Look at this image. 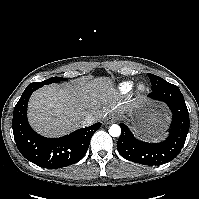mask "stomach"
Wrapping results in <instances>:
<instances>
[{
  "instance_id": "obj_1",
  "label": "stomach",
  "mask_w": 199,
  "mask_h": 199,
  "mask_svg": "<svg viewBox=\"0 0 199 199\" xmlns=\"http://www.w3.org/2000/svg\"><path fill=\"white\" fill-rule=\"evenodd\" d=\"M164 109L144 101L127 113L132 129L143 138H152L163 132L166 125Z\"/></svg>"
}]
</instances>
